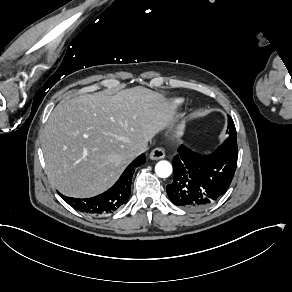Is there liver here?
<instances>
[{"instance_id":"liver-1","label":"liver","mask_w":292,"mask_h":292,"mask_svg":"<svg viewBox=\"0 0 292 292\" xmlns=\"http://www.w3.org/2000/svg\"><path fill=\"white\" fill-rule=\"evenodd\" d=\"M170 102L137 87L63 100L43 130L41 148L51 183L63 194L90 197L109 188L147 144L168 125Z\"/></svg>"}]
</instances>
